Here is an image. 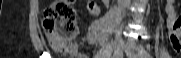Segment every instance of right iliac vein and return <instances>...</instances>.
Instances as JSON below:
<instances>
[{
	"label": "right iliac vein",
	"instance_id": "obj_1",
	"mask_svg": "<svg viewBox=\"0 0 181 58\" xmlns=\"http://www.w3.org/2000/svg\"><path fill=\"white\" fill-rule=\"evenodd\" d=\"M125 46H126L125 41L120 37L117 38L114 49L115 57H119L122 54V51L124 50Z\"/></svg>",
	"mask_w": 181,
	"mask_h": 58
}]
</instances>
